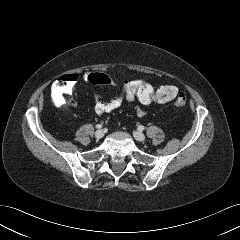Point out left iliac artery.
<instances>
[{
	"label": "left iliac artery",
	"mask_w": 240,
	"mask_h": 240,
	"mask_svg": "<svg viewBox=\"0 0 240 240\" xmlns=\"http://www.w3.org/2000/svg\"><path fill=\"white\" fill-rule=\"evenodd\" d=\"M144 129H145L144 126H142V125H139V126H138V130L143 131Z\"/></svg>",
	"instance_id": "left-iliac-artery-1"
}]
</instances>
